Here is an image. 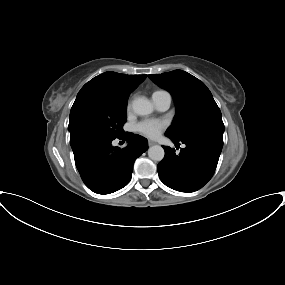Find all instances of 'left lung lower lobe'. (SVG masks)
<instances>
[{
    "mask_svg": "<svg viewBox=\"0 0 285 285\" xmlns=\"http://www.w3.org/2000/svg\"><path fill=\"white\" fill-rule=\"evenodd\" d=\"M171 140L177 144L179 142L186 144V148L177 155L170 147H163L165 156L158 164L161 181L166 186L181 192H194L202 188L215 172L223 139L201 135L181 141L173 138Z\"/></svg>",
    "mask_w": 285,
    "mask_h": 285,
    "instance_id": "1",
    "label": "left lung lower lobe"
}]
</instances>
